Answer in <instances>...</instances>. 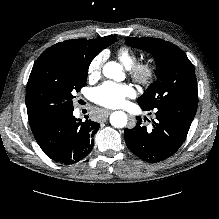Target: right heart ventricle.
<instances>
[{"mask_svg": "<svg viewBox=\"0 0 219 219\" xmlns=\"http://www.w3.org/2000/svg\"><path fill=\"white\" fill-rule=\"evenodd\" d=\"M118 60L127 68L130 69L137 63V54L130 48L123 46L120 47L116 52Z\"/></svg>", "mask_w": 219, "mask_h": 219, "instance_id": "e07e8e85", "label": "right heart ventricle"}]
</instances>
